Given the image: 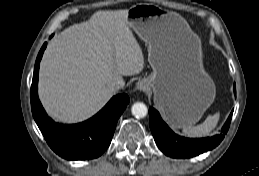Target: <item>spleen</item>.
<instances>
[{"label": "spleen", "mask_w": 259, "mask_h": 176, "mask_svg": "<svg viewBox=\"0 0 259 176\" xmlns=\"http://www.w3.org/2000/svg\"><path fill=\"white\" fill-rule=\"evenodd\" d=\"M220 119L219 112L209 115L202 124L197 126H187L183 128L182 133L187 137H205L210 135L212 130L217 126Z\"/></svg>", "instance_id": "obj_1"}]
</instances>
